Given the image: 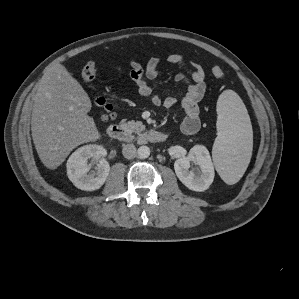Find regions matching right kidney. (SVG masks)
<instances>
[{
    "instance_id": "obj_1",
    "label": "right kidney",
    "mask_w": 299,
    "mask_h": 299,
    "mask_svg": "<svg viewBox=\"0 0 299 299\" xmlns=\"http://www.w3.org/2000/svg\"><path fill=\"white\" fill-rule=\"evenodd\" d=\"M106 154V149L96 144L82 146L73 152L66 167L68 178L74 186L85 191L99 189L110 172L109 163L104 159ZM89 159L94 162L88 163ZM94 164L96 171H90Z\"/></svg>"
}]
</instances>
